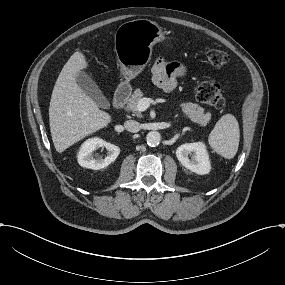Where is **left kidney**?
<instances>
[{"label": "left kidney", "mask_w": 285, "mask_h": 285, "mask_svg": "<svg viewBox=\"0 0 285 285\" xmlns=\"http://www.w3.org/2000/svg\"><path fill=\"white\" fill-rule=\"evenodd\" d=\"M176 155L184 167L196 174L203 175L210 171V162L202 143L181 145Z\"/></svg>", "instance_id": "5707ae66"}]
</instances>
